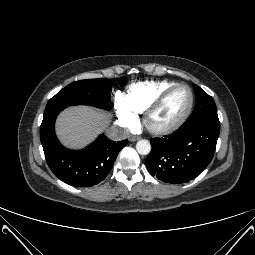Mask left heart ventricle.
I'll return each instance as SVG.
<instances>
[{"instance_id": "obj_1", "label": "left heart ventricle", "mask_w": 255, "mask_h": 255, "mask_svg": "<svg viewBox=\"0 0 255 255\" xmlns=\"http://www.w3.org/2000/svg\"><path fill=\"white\" fill-rule=\"evenodd\" d=\"M190 102L188 90L180 88L174 91L152 116L154 126H168L177 121L186 111Z\"/></svg>"}]
</instances>
